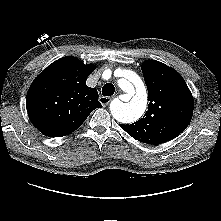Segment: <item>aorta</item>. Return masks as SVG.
Returning a JSON list of instances; mask_svg holds the SVG:
<instances>
[{"label": "aorta", "instance_id": "obj_1", "mask_svg": "<svg viewBox=\"0 0 221 221\" xmlns=\"http://www.w3.org/2000/svg\"><path fill=\"white\" fill-rule=\"evenodd\" d=\"M118 79L119 87L126 93L127 102L115 100L110 105L113 117L123 123L139 119L147 107V93L140 77L133 71L125 70Z\"/></svg>", "mask_w": 221, "mask_h": 221}]
</instances>
